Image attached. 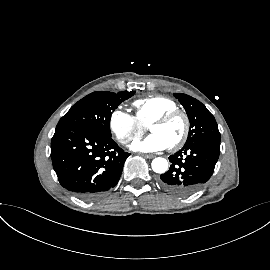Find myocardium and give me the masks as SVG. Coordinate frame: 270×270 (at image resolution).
<instances>
[{
	"label": "myocardium",
	"instance_id": "f54148a6",
	"mask_svg": "<svg viewBox=\"0 0 270 270\" xmlns=\"http://www.w3.org/2000/svg\"><path fill=\"white\" fill-rule=\"evenodd\" d=\"M175 117H181L184 121V130L181 135V137L172 145L168 146V149L171 151H175L180 149L187 141L190 133V120L188 115L180 110V109H175V110H170L162 114L161 116L157 117L150 123V127L155 126V125H161L165 124L168 121L172 120Z\"/></svg>",
	"mask_w": 270,
	"mask_h": 270
}]
</instances>
